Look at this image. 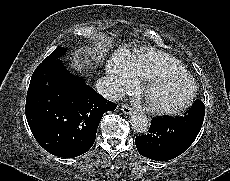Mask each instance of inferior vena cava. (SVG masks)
Listing matches in <instances>:
<instances>
[{"label":"inferior vena cava","mask_w":230,"mask_h":181,"mask_svg":"<svg viewBox=\"0 0 230 181\" xmlns=\"http://www.w3.org/2000/svg\"><path fill=\"white\" fill-rule=\"evenodd\" d=\"M95 87L99 94L111 101H119L125 94L121 85L109 77L99 78Z\"/></svg>","instance_id":"inferior-vena-cava-1"}]
</instances>
